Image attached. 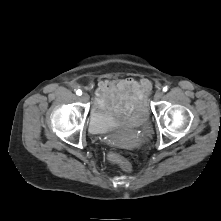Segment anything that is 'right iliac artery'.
Wrapping results in <instances>:
<instances>
[{
  "label": "right iliac artery",
  "mask_w": 221,
  "mask_h": 221,
  "mask_svg": "<svg viewBox=\"0 0 221 221\" xmlns=\"http://www.w3.org/2000/svg\"><path fill=\"white\" fill-rule=\"evenodd\" d=\"M76 94L80 96V95L82 94V91H81L80 89H78V90L76 91Z\"/></svg>",
  "instance_id": "1"
}]
</instances>
